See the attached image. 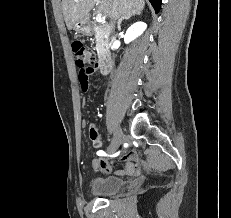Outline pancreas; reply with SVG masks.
Here are the masks:
<instances>
[{
	"label": "pancreas",
	"mask_w": 231,
	"mask_h": 218,
	"mask_svg": "<svg viewBox=\"0 0 231 218\" xmlns=\"http://www.w3.org/2000/svg\"><path fill=\"white\" fill-rule=\"evenodd\" d=\"M95 40H96V48L101 49L102 45L104 43V37L103 34L99 31L98 28H95Z\"/></svg>",
	"instance_id": "obj_1"
}]
</instances>
